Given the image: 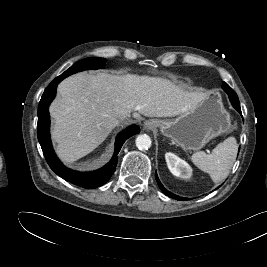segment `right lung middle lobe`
Segmentation results:
<instances>
[{
    "label": "right lung middle lobe",
    "instance_id": "dd1d6c3e",
    "mask_svg": "<svg viewBox=\"0 0 267 267\" xmlns=\"http://www.w3.org/2000/svg\"><path fill=\"white\" fill-rule=\"evenodd\" d=\"M105 62L106 59L104 58H99V57L86 58L73 64L68 70H66L59 77L64 79L67 76L79 71L103 68L105 66Z\"/></svg>",
    "mask_w": 267,
    "mask_h": 267
}]
</instances>
